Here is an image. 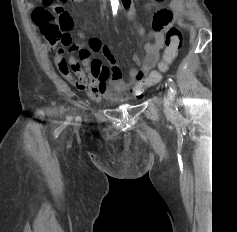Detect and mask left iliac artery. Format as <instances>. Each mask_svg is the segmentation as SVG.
I'll use <instances>...</instances> for the list:
<instances>
[{"mask_svg": "<svg viewBox=\"0 0 237 232\" xmlns=\"http://www.w3.org/2000/svg\"><path fill=\"white\" fill-rule=\"evenodd\" d=\"M168 85H169L170 91L175 96L177 94V88H176L175 82L171 78H168Z\"/></svg>", "mask_w": 237, "mask_h": 232, "instance_id": "left-iliac-artery-1", "label": "left iliac artery"}]
</instances>
